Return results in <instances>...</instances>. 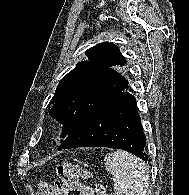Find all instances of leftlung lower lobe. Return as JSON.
Returning <instances> with one entry per match:
<instances>
[{
  "instance_id": "obj_1",
  "label": "left lung lower lobe",
  "mask_w": 189,
  "mask_h": 195,
  "mask_svg": "<svg viewBox=\"0 0 189 195\" xmlns=\"http://www.w3.org/2000/svg\"><path fill=\"white\" fill-rule=\"evenodd\" d=\"M126 89V88H125ZM121 92L113 95L80 124L59 145L58 150L76 147H110L126 150L144 161L146 137L137 112L135 97Z\"/></svg>"
}]
</instances>
